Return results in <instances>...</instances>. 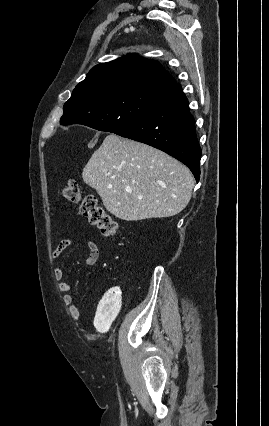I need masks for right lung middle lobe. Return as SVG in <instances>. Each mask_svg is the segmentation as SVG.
Returning <instances> with one entry per match:
<instances>
[{"label":"right lung middle lobe","mask_w":269,"mask_h":426,"mask_svg":"<svg viewBox=\"0 0 269 426\" xmlns=\"http://www.w3.org/2000/svg\"><path fill=\"white\" fill-rule=\"evenodd\" d=\"M160 94L145 90L104 91L90 96L73 93L64 105L60 122L114 133L143 117Z\"/></svg>","instance_id":"obj_1"}]
</instances>
